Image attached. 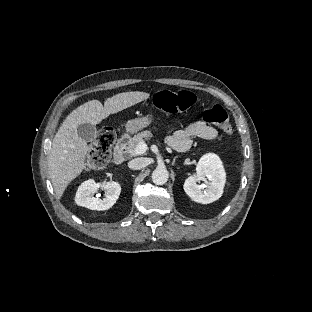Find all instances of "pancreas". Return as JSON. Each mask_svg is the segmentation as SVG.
<instances>
[{
  "mask_svg": "<svg viewBox=\"0 0 312 312\" xmlns=\"http://www.w3.org/2000/svg\"><path fill=\"white\" fill-rule=\"evenodd\" d=\"M152 137V133L148 130L140 132L136 135H134L130 141L128 142V146L125 148L126 153L135 155V149L137 145L141 142L144 141V139H149Z\"/></svg>",
  "mask_w": 312,
  "mask_h": 312,
  "instance_id": "cf45deb5",
  "label": "pancreas"
}]
</instances>
